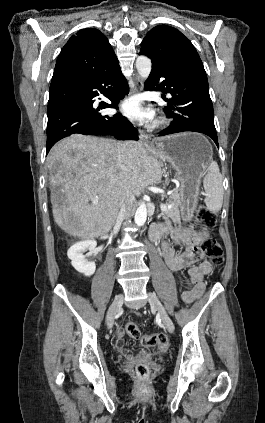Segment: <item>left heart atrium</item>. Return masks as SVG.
Returning a JSON list of instances; mask_svg holds the SVG:
<instances>
[{
  "label": "left heart atrium",
  "instance_id": "obj_1",
  "mask_svg": "<svg viewBox=\"0 0 265 423\" xmlns=\"http://www.w3.org/2000/svg\"><path fill=\"white\" fill-rule=\"evenodd\" d=\"M121 111L128 117L138 121H148L153 117V112L141 106L138 99H129L121 105Z\"/></svg>",
  "mask_w": 265,
  "mask_h": 423
}]
</instances>
